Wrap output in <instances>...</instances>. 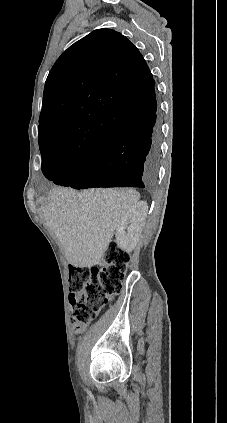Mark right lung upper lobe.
<instances>
[{
  "mask_svg": "<svg viewBox=\"0 0 227 423\" xmlns=\"http://www.w3.org/2000/svg\"><path fill=\"white\" fill-rule=\"evenodd\" d=\"M154 91L139 50L112 29H97L70 46L52 67L44 88L39 141L87 150L127 130L130 122L101 110L139 101Z\"/></svg>",
  "mask_w": 227,
  "mask_h": 423,
  "instance_id": "1",
  "label": "right lung upper lobe"
}]
</instances>
